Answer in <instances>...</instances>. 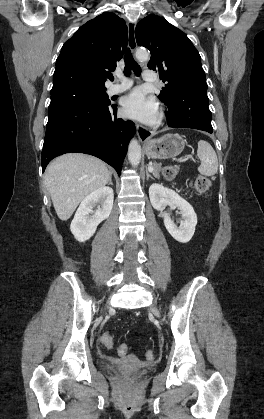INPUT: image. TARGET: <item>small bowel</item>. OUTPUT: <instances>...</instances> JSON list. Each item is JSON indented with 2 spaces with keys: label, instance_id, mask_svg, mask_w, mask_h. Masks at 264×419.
<instances>
[{
  "label": "small bowel",
  "instance_id": "c3829d8e",
  "mask_svg": "<svg viewBox=\"0 0 264 419\" xmlns=\"http://www.w3.org/2000/svg\"><path fill=\"white\" fill-rule=\"evenodd\" d=\"M125 346V344H122V345H120L119 346V349H118V353H119V355L120 356H126L128 353H124L122 350H123V347Z\"/></svg>",
  "mask_w": 264,
  "mask_h": 419
}]
</instances>
